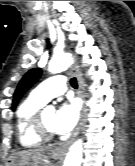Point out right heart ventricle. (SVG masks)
<instances>
[{"label":"right heart ventricle","instance_id":"right-heart-ventricle-1","mask_svg":"<svg viewBox=\"0 0 135 166\" xmlns=\"http://www.w3.org/2000/svg\"><path fill=\"white\" fill-rule=\"evenodd\" d=\"M45 102L32 94L25 98L16 110V136L19 144L24 148H37L43 144L32 128L34 115L42 109Z\"/></svg>","mask_w":135,"mask_h":166}]
</instances>
